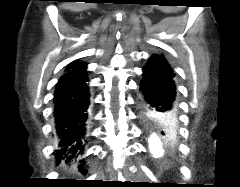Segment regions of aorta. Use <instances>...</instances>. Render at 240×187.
Instances as JSON below:
<instances>
[{
  "label": "aorta",
  "instance_id": "obj_1",
  "mask_svg": "<svg viewBox=\"0 0 240 187\" xmlns=\"http://www.w3.org/2000/svg\"><path fill=\"white\" fill-rule=\"evenodd\" d=\"M149 149L155 157L163 154V141L156 131H151L148 134Z\"/></svg>",
  "mask_w": 240,
  "mask_h": 187
}]
</instances>
